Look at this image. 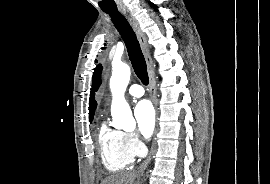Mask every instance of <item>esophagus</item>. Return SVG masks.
I'll use <instances>...</instances> for the list:
<instances>
[{
    "mask_svg": "<svg viewBox=\"0 0 270 184\" xmlns=\"http://www.w3.org/2000/svg\"><path fill=\"white\" fill-rule=\"evenodd\" d=\"M120 11L126 17V19L129 21L131 26L133 27V29L137 35V38L139 40L141 49L143 51V54H144V57H145V60L147 63V70H148V76H149V90H150L151 99H152V102H153L155 109L157 111L155 79H154L153 70H152V59H151L149 47L147 44V38H146L145 34L142 32L138 21L130 14V12L125 8H120ZM157 113H158V111H157ZM156 131H157V129H155L154 134H156ZM152 153H153V147L151 148V151H150L147 159L141 164L140 171H143L147 167L148 163L151 160Z\"/></svg>",
    "mask_w": 270,
    "mask_h": 184,
    "instance_id": "esophagus-1",
    "label": "esophagus"
}]
</instances>
